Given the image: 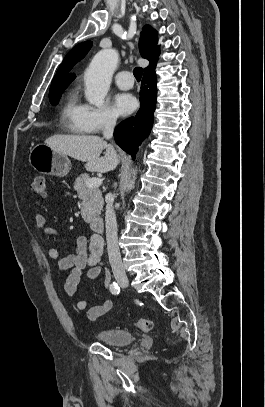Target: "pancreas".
Here are the masks:
<instances>
[{
    "mask_svg": "<svg viewBox=\"0 0 265 407\" xmlns=\"http://www.w3.org/2000/svg\"><path fill=\"white\" fill-rule=\"evenodd\" d=\"M89 179L88 174H82L76 178L74 183V189L82 200L81 214L87 222L100 215L103 208L102 193L97 187L90 188L86 185V181Z\"/></svg>",
    "mask_w": 265,
    "mask_h": 407,
    "instance_id": "cf45deb5",
    "label": "pancreas"
}]
</instances>
